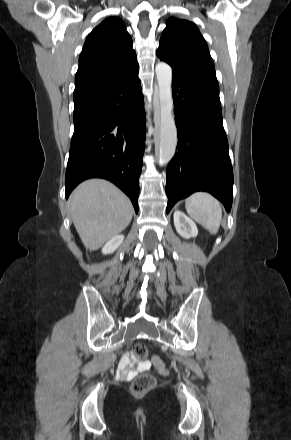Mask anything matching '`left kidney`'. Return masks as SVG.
<instances>
[{"label":"left kidney","mask_w":291,"mask_h":440,"mask_svg":"<svg viewBox=\"0 0 291 440\" xmlns=\"http://www.w3.org/2000/svg\"><path fill=\"white\" fill-rule=\"evenodd\" d=\"M174 226L177 233L185 239L195 237L198 234L195 222L180 210L174 212Z\"/></svg>","instance_id":"1"}]
</instances>
